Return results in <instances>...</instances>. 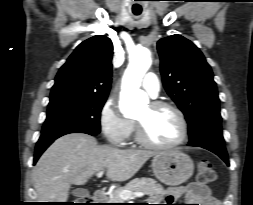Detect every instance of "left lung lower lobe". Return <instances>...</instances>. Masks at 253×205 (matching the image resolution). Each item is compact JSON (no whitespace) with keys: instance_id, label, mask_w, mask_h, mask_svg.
<instances>
[{"instance_id":"obj_1","label":"left lung lower lobe","mask_w":253,"mask_h":205,"mask_svg":"<svg viewBox=\"0 0 253 205\" xmlns=\"http://www.w3.org/2000/svg\"><path fill=\"white\" fill-rule=\"evenodd\" d=\"M198 146L215 153L222 160H224L227 165H229V159H228V155H227L226 148L224 145L215 144V143H205Z\"/></svg>"}]
</instances>
